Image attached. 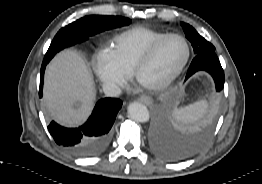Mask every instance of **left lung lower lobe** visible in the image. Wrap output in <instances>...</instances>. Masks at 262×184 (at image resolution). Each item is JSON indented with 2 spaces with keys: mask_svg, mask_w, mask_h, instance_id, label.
Here are the masks:
<instances>
[{
  "mask_svg": "<svg viewBox=\"0 0 262 184\" xmlns=\"http://www.w3.org/2000/svg\"><path fill=\"white\" fill-rule=\"evenodd\" d=\"M207 71L214 79L216 90L224 87V71L215 51L199 53L192 60L186 78L197 71ZM209 132H200L191 136H180L170 125L168 119L159 111L153 116L149 128V142L152 151L160 158L176 162L198 153L206 145Z\"/></svg>",
  "mask_w": 262,
  "mask_h": 184,
  "instance_id": "1",
  "label": "left lung lower lobe"
}]
</instances>
